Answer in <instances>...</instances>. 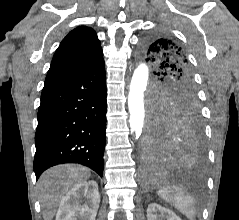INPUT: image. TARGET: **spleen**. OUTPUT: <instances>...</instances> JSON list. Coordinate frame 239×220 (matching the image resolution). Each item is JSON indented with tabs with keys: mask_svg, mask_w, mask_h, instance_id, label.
Masks as SVG:
<instances>
[{
	"mask_svg": "<svg viewBox=\"0 0 239 220\" xmlns=\"http://www.w3.org/2000/svg\"><path fill=\"white\" fill-rule=\"evenodd\" d=\"M157 194L167 203L174 206L189 220H195V205L192 197L178 188L164 187Z\"/></svg>",
	"mask_w": 239,
	"mask_h": 220,
	"instance_id": "obj_1",
	"label": "spleen"
}]
</instances>
